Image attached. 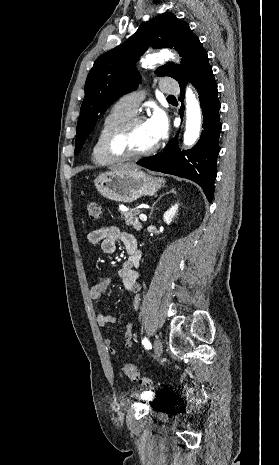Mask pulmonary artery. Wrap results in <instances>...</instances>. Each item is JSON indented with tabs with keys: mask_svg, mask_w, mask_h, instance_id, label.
<instances>
[{
	"mask_svg": "<svg viewBox=\"0 0 279 465\" xmlns=\"http://www.w3.org/2000/svg\"><path fill=\"white\" fill-rule=\"evenodd\" d=\"M160 90L166 94H176L178 93L179 88L175 83L164 80L160 85ZM143 98L144 94L142 92H132L120 98L117 104L128 112L134 114L136 113Z\"/></svg>",
	"mask_w": 279,
	"mask_h": 465,
	"instance_id": "e3ab8cb5",
	"label": "pulmonary artery"
}]
</instances>
